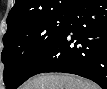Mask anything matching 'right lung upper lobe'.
Instances as JSON below:
<instances>
[{
    "label": "right lung upper lobe",
    "instance_id": "right-lung-upper-lobe-1",
    "mask_svg": "<svg viewBox=\"0 0 107 89\" xmlns=\"http://www.w3.org/2000/svg\"><path fill=\"white\" fill-rule=\"evenodd\" d=\"M27 1V2H26ZM79 0H17L10 11L8 26L27 19L69 13Z\"/></svg>",
    "mask_w": 107,
    "mask_h": 89
}]
</instances>
